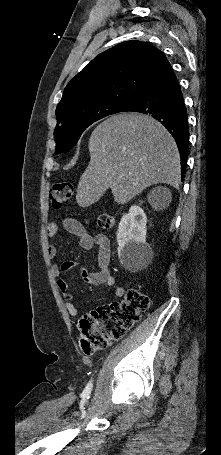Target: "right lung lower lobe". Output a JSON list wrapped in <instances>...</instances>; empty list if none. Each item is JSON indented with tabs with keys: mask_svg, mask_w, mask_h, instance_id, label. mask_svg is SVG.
I'll list each match as a JSON object with an SVG mask.
<instances>
[{
	"mask_svg": "<svg viewBox=\"0 0 221 455\" xmlns=\"http://www.w3.org/2000/svg\"><path fill=\"white\" fill-rule=\"evenodd\" d=\"M125 111L149 114L171 133L180 153L183 180L189 152L187 109L179 83L168 61L139 98L129 104Z\"/></svg>",
	"mask_w": 221,
	"mask_h": 455,
	"instance_id": "obj_1",
	"label": "right lung lower lobe"
}]
</instances>
